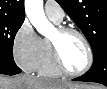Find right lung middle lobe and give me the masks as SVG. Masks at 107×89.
I'll return each instance as SVG.
<instances>
[{
  "mask_svg": "<svg viewBox=\"0 0 107 89\" xmlns=\"http://www.w3.org/2000/svg\"><path fill=\"white\" fill-rule=\"evenodd\" d=\"M24 20L0 17V65L17 67L13 59V42Z\"/></svg>",
  "mask_w": 107,
  "mask_h": 89,
  "instance_id": "obj_1",
  "label": "right lung middle lobe"
}]
</instances>
